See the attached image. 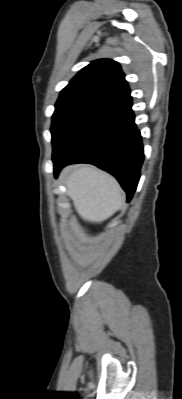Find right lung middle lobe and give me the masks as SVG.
I'll use <instances>...</instances> for the list:
<instances>
[{"instance_id": "obj_1", "label": "right lung middle lobe", "mask_w": 182, "mask_h": 399, "mask_svg": "<svg viewBox=\"0 0 182 399\" xmlns=\"http://www.w3.org/2000/svg\"><path fill=\"white\" fill-rule=\"evenodd\" d=\"M105 102L88 96L59 97L52 117V144L57 145L60 140L78 122L89 114L105 106Z\"/></svg>"}]
</instances>
